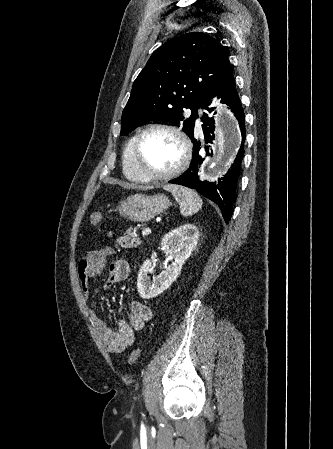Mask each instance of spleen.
Masks as SVG:
<instances>
[{
    "instance_id": "spleen-1",
    "label": "spleen",
    "mask_w": 333,
    "mask_h": 449,
    "mask_svg": "<svg viewBox=\"0 0 333 449\" xmlns=\"http://www.w3.org/2000/svg\"><path fill=\"white\" fill-rule=\"evenodd\" d=\"M164 190L171 192L175 200L180 205V212L183 216H191L198 212L202 207V199L193 190L179 186V185H166Z\"/></svg>"
}]
</instances>
